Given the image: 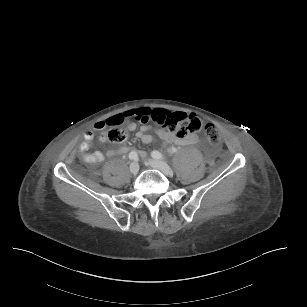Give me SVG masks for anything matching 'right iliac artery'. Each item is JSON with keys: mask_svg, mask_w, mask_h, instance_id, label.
I'll return each mask as SVG.
<instances>
[{"mask_svg": "<svg viewBox=\"0 0 307 307\" xmlns=\"http://www.w3.org/2000/svg\"><path fill=\"white\" fill-rule=\"evenodd\" d=\"M129 159H131V160H137V159H138V154H137V152H136V151H131V152L129 153Z\"/></svg>", "mask_w": 307, "mask_h": 307, "instance_id": "obj_1", "label": "right iliac artery"}]
</instances>
